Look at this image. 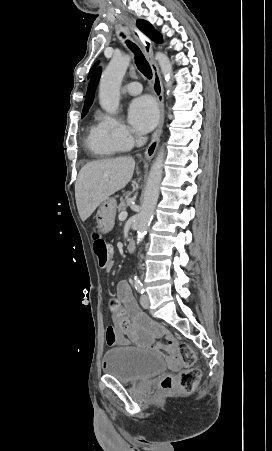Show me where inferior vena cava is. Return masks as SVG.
I'll return each instance as SVG.
<instances>
[{
  "mask_svg": "<svg viewBox=\"0 0 272 451\" xmlns=\"http://www.w3.org/2000/svg\"><path fill=\"white\" fill-rule=\"evenodd\" d=\"M145 140L146 138H139V140H136L138 148H140V146H143V144H145Z\"/></svg>",
  "mask_w": 272,
  "mask_h": 451,
  "instance_id": "obj_1",
  "label": "inferior vena cava"
}]
</instances>
